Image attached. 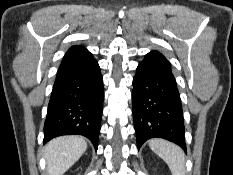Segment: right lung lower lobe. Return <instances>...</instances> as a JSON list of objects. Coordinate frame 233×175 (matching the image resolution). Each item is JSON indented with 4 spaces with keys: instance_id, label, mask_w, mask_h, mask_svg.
<instances>
[{
    "instance_id": "98d812e1",
    "label": "right lung lower lobe",
    "mask_w": 233,
    "mask_h": 175,
    "mask_svg": "<svg viewBox=\"0 0 233 175\" xmlns=\"http://www.w3.org/2000/svg\"><path fill=\"white\" fill-rule=\"evenodd\" d=\"M103 79L90 52L61 62L44 124V143L61 135L87 137L95 149L101 128Z\"/></svg>"
}]
</instances>
